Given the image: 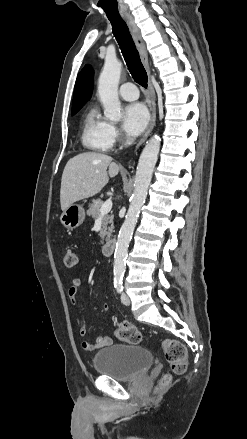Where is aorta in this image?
Masks as SVG:
<instances>
[{
    "instance_id": "762f6f07",
    "label": "aorta",
    "mask_w": 247,
    "mask_h": 439,
    "mask_svg": "<svg viewBox=\"0 0 247 439\" xmlns=\"http://www.w3.org/2000/svg\"><path fill=\"white\" fill-rule=\"evenodd\" d=\"M122 63L116 58H106L98 80V94L104 107L105 117L112 121H119L122 117L121 104L118 98V85ZM161 139L153 136L145 145L137 165L134 183V192L125 221L119 231L114 254V282L120 283L123 279L128 255V247L135 229L141 207L147 197L154 167L160 150Z\"/></svg>"
}]
</instances>
